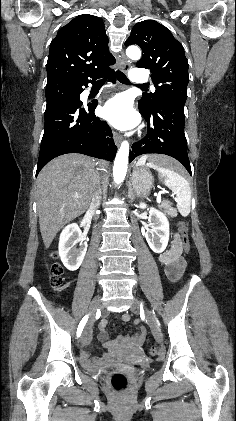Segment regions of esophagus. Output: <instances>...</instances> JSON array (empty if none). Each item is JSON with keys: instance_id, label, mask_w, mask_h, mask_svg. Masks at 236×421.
<instances>
[{"instance_id": "1", "label": "esophagus", "mask_w": 236, "mask_h": 421, "mask_svg": "<svg viewBox=\"0 0 236 421\" xmlns=\"http://www.w3.org/2000/svg\"><path fill=\"white\" fill-rule=\"evenodd\" d=\"M121 57H122V61H123L122 69H123V71L126 72L129 68V63L127 62V59H126L124 53L121 54ZM113 138H114L115 144L117 146H119L121 141H122V136L120 135V133L114 132Z\"/></svg>"}]
</instances>
